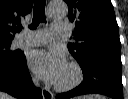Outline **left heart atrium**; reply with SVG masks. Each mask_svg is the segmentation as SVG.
Masks as SVG:
<instances>
[{"instance_id": "39dd6f15", "label": "left heart atrium", "mask_w": 128, "mask_h": 99, "mask_svg": "<svg viewBox=\"0 0 128 99\" xmlns=\"http://www.w3.org/2000/svg\"><path fill=\"white\" fill-rule=\"evenodd\" d=\"M31 69L43 79L57 83L67 67L65 54L59 49L34 51L29 57Z\"/></svg>"}]
</instances>
